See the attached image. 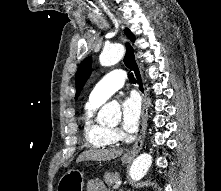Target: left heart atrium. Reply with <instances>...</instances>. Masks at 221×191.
I'll list each match as a JSON object with an SVG mask.
<instances>
[{"label": "left heart atrium", "instance_id": "39dd6f15", "mask_svg": "<svg viewBox=\"0 0 221 191\" xmlns=\"http://www.w3.org/2000/svg\"><path fill=\"white\" fill-rule=\"evenodd\" d=\"M122 127L127 132H135L140 121V102L137 96L129 95L121 101Z\"/></svg>", "mask_w": 221, "mask_h": 191}]
</instances>
